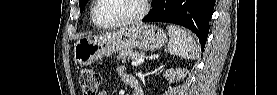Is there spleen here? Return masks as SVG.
Returning <instances> with one entry per match:
<instances>
[{"label":"spleen","instance_id":"spleen-1","mask_svg":"<svg viewBox=\"0 0 277 95\" xmlns=\"http://www.w3.org/2000/svg\"><path fill=\"white\" fill-rule=\"evenodd\" d=\"M167 30L170 37L168 52L185 59H195L197 57L199 49L190 33L175 25H169Z\"/></svg>","mask_w":277,"mask_h":95}]
</instances>
